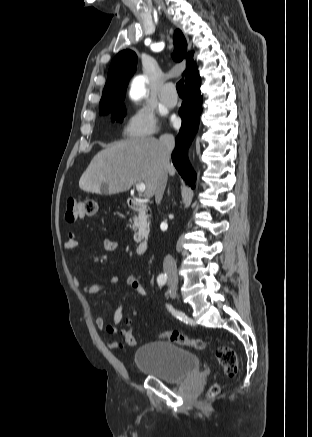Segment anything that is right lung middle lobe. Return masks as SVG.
<instances>
[{"mask_svg":"<svg viewBox=\"0 0 312 437\" xmlns=\"http://www.w3.org/2000/svg\"><path fill=\"white\" fill-rule=\"evenodd\" d=\"M109 113H111L112 120L121 121L126 113L125 105H121V106L113 109ZM106 114H108V113H106ZM106 114H101V115H106Z\"/></svg>","mask_w":312,"mask_h":437,"instance_id":"1","label":"right lung middle lobe"}]
</instances>
